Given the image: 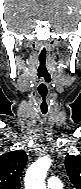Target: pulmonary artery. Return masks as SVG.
<instances>
[{"label": "pulmonary artery", "mask_w": 81, "mask_h": 189, "mask_svg": "<svg viewBox=\"0 0 81 189\" xmlns=\"http://www.w3.org/2000/svg\"><path fill=\"white\" fill-rule=\"evenodd\" d=\"M48 189H63L61 180L55 176H51L47 179Z\"/></svg>", "instance_id": "e3ab8cb5"}]
</instances>
